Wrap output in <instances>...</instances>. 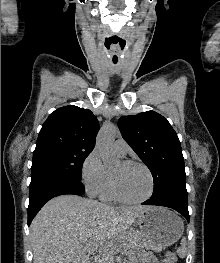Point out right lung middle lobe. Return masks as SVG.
I'll use <instances>...</instances> for the list:
<instances>
[{"instance_id":"right-lung-middle-lobe-1","label":"right lung middle lobe","mask_w":220,"mask_h":263,"mask_svg":"<svg viewBox=\"0 0 220 263\" xmlns=\"http://www.w3.org/2000/svg\"><path fill=\"white\" fill-rule=\"evenodd\" d=\"M89 153L91 150L74 148H51L34 152L32 176L48 173L81 181L82 164Z\"/></svg>"}]
</instances>
